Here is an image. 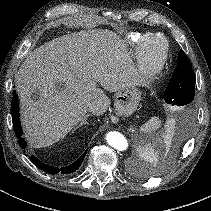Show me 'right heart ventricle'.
<instances>
[{
  "label": "right heart ventricle",
  "instance_id": "obj_1",
  "mask_svg": "<svg viewBox=\"0 0 211 211\" xmlns=\"http://www.w3.org/2000/svg\"><path fill=\"white\" fill-rule=\"evenodd\" d=\"M147 34L148 33H140V32L130 33L127 36V41L132 47H136V46H138V44L142 40V38Z\"/></svg>",
  "mask_w": 211,
  "mask_h": 211
}]
</instances>
